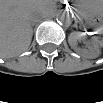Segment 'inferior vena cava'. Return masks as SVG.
<instances>
[{"label":"inferior vena cava","mask_w":103,"mask_h":103,"mask_svg":"<svg viewBox=\"0 0 103 103\" xmlns=\"http://www.w3.org/2000/svg\"><path fill=\"white\" fill-rule=\"evenodd\" d=\"M42 16L43 15H41V14H38V15L34 14V15L31 16V21L40 20Z\"/></svg>","instance_id":"inferior-vena-cava-1"}]
</instances>
